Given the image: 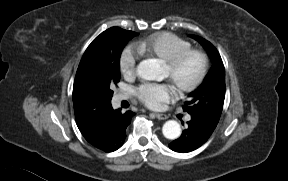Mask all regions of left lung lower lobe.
I'll list each match as a JSON object with an SVG mask.
<instances>
[{"instance_id":"obj_1","label":"left lung lower lobe","mask_w":288,"mask_h":181,"mask_svg":"<svg viewBox=\"0 0 288 181\" xmlns=\"http://www.w3.org/2000/svg\"><path fill=\"white\" fill-rule=\"evenodd\" d=\"M191 120L187 122L180 138L172 141L169 147L176 152H191L203 145L213 133L218 122L201 114H190Z\"/></svg>"}]
</instances>
